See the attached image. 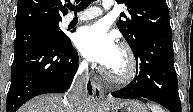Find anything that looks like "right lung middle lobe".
<instances>
[{"label": "right lung middle lobe", "instance_id": "dd1d6c3e", "mask_svg": "<svg viewBox=\"0 0 193 112\" xmlns=\"http://www.w3.org/2000/svg\"><path fill=\"white\" fill-rule=\"evenodd\" d=\"M53 37L62 43H69L70 39L61 31L59 24L54 25H40L17 30L14 41V51L39 41L41 39Z\"/></svg>", "mask_w": 193, "mask_h": 112}]
</instances>
